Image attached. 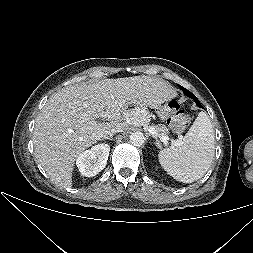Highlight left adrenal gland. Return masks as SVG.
I'll return each instance as SVG.
<instances>
[{
    "label": "left adrenal gland",
    "instance_id": "left-adrenal-gland-1",
    "mask_svg": "<svg viewBox=\"0 0 253 253\" xmlns=\"http://www.w3.org/2000/svg\"><path fill=\"white\" fill-rule=\"evenodd\" d=\"M154 138L156 139V141H155L156 146H159V141H158L157 137L154 136Z\"/></svg>",
    "mask_w": 253,
    "mask_h": 253
}]
</instances>
